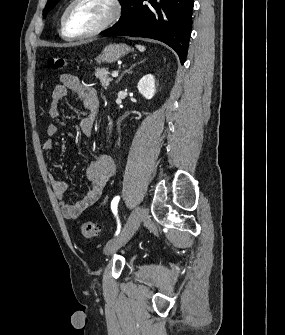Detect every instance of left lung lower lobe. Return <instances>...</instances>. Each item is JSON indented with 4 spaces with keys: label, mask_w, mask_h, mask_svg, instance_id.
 <instances>
[{
    "label": "left lung lower lobe",
    "mask_w": 285,
    "mask_h": 335,
    "mask_svg": "<svg viewBox=\"0 0 285 335\" xmlns=\"http://www.w3.org/2000/svg\"><path fill=\"white\" fill-rule=\"evenodd\" d=\"M122 16L104 36H132L162 41L184 63L192 27L193 0H123Z\"/></svg>",
    "instance_id": "obj_1"
}]
</instances>
